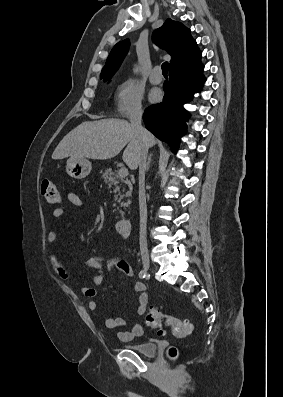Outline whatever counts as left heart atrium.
Masks as SVG:
<instances>
[{"label":"left heart atrium","mask_w":283,"mask_h":397,"mask_svg":"<svg viewBox=\"0 0 283 397\" xmlns=\"http://www.w3.org/2000/svg\"><path fill=\"white\" fill-rule=\"evenodd\" d=\"M162 98V92L158 89H153L149 94V100L151 102H158Z\"/></svg>","instance_id":"obj_1"}]
</instances>
